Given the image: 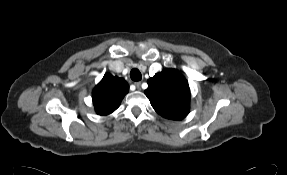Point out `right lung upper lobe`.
Instances as JSON below:
<instances>
[{"label": "right lung upper lobe", "mask_w": 287, "mask_h": 175, "mask_svg": "<svg viewBox=\"0 0 287 175\" xmlns=\"http://www.w3.org/2000/svg\"><path fill=\"white\" fill-rule=\"evenodd\" d=\"M128 90L129 85L123 78L106 73L92 93L96 113L104 116L114 112Z\"/></svg>", "instance_id": "1"}]
</instances>
